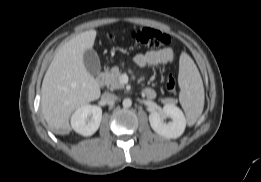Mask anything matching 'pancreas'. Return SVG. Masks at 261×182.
Masks as SVG:
<instances>
[{"instance_id": "obj_1", "label": "pancreas", "mask_w": 261, "mask_h": 182, "mask_svg": "<svg viewBox=\"0 0 261 182\" xmlns=\"http://www.w3.org/2000/svg\"><path fill=\"white\" fill-rule=\"evenodd\" d=\"M105 85L111 90L122 89L124 84L120 82L121 73L117 66L113 67L110 71L103 74Z\"/></svg>"}]
</instances>
